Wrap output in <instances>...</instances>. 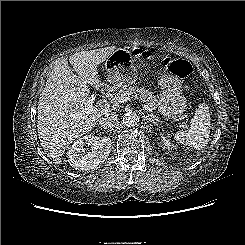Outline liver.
<instances>
[{
  "instance_id": "obj_1",
  "label": "liver",
  "mask_w": 245,
  "mask_h": 245,
  "mask_svg": "<svg viewBox=\"0 0 245 245\" xmlns=\"http://www.w3.org/2000/svg\"><path fill=\"white\" fill-rule=\"evenodd\" d=\"M116 47H104L81 51L62 57L55 62L38 102L37 131L41 146L47 156L57 165L61 164L65 149L78 137L89 133L109 107L100 104L94 114L87 118L73 116L85 105L89 96V85L99 89L98 65L104 62ZM68 60L73 66L71 72ZM108 105V104H107Z\"/></svg>"
}]
</instances>
